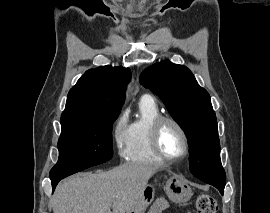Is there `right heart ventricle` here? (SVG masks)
I'll return each mask as SVG.
<instances>
[{"mask_svg": "<svg viewBox=\"0 0 270 213\" xmlns=\"http://www.w3.org/2000/svg\"><path fill=\"white\" fill-rule=\"evenodd\" d=\"M161 112L154 99L143 96L139 101V114L127 125V141L124 157L130 163H158L162 160L156 156L150 146V129Z\"/></svg>", "mask_w": 270, "mask_h": 213, "instance_id": "e07e8e85", "label": "right heart ventricle"}]
</instances>
